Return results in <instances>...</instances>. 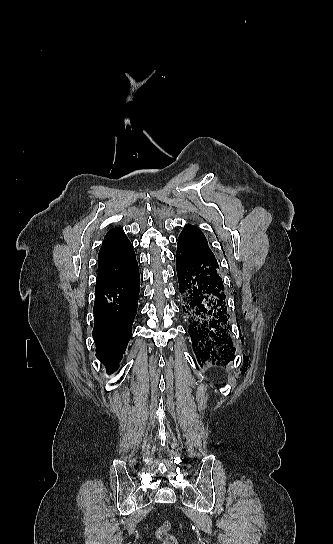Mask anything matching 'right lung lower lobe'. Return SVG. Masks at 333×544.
Masks as SVG:
<instances>
[{"label":"right lung lower lobe","instance_id":"right-lung-lower-lobe-1","mask_svg":"<svg viewBox=\"0 0 333 544\" xmlns=\"http://www.w3.org/2000/svg\"><path fill=\"white\" fill-rule=\"evenodd\" d=\"M140 275L137 261L117 279L95 288L93 338L96 356L110 374L118 367L132 335Z\"/></svg>","mask_w":333,"mask_h":544}]
</instances>
